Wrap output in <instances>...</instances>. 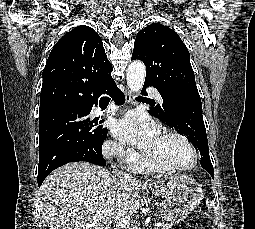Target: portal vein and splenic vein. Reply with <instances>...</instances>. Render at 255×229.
<instances>
[{
  "mask_svg": "<svg viewBox=\"0 0 255 229\" xmlns=\"http://www.w3.org/2000/svg\"><path fill=\"white\" fill-rule=\"evenodd\" d=\"M106 213L111 214L112 218H114L115 220L120 221V222H122V223H124V224H126L128 226L130 225L129 221H127L125 218H122V217L112 213L111 211H108V212H99L98 214L99 215H103V214H106ZM160 225H161V223H156L155 227H158Z\"/></svg>",
  "mask_w": 255,
  "mask_h": 229,
  "instance_id": "obj_1",
  "label": "portal vein and splenic vein"
}]
</instances>
